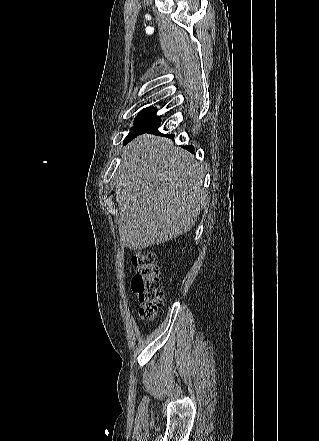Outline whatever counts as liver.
Masks as SVG:
<instances>
[{
	"instance_id": "1",
	"label": "liver",
	"mask_w": 319,
	"mask_h": 441,
	"mask_svg": "<svg viewBox=\"0 0 319 441\" xmlns=\"http://www.w3.org/2000/svg\"><path fill=\"white\" fill-rule=\"evenodd\" d=\"M205 169L164 137L143 134L124 147L116 201L125 246L139 251L189 231L205 206Z\"/></svg>"
}]
</instances>
